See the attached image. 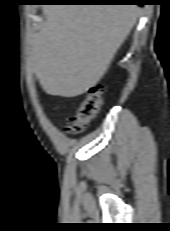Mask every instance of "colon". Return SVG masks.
Listing matches in <instances>:
<instances>
[{"mask_svg": "<svg viewBox=\"0 0 170 231\" xmlns=\"http://www.w3.org/2000/svg\"><path fill=\"white\" fill-rule=\"evenodd\" d=\"M105 88L101 84L92 86L80 102L74 115L67 122L66 132L78 134L95 119L104 101Z\"/></svg>", "mask_w": 170, "mask_h": 231, "instance_id": "colon-1", "label": "colon"}]
</instances>
